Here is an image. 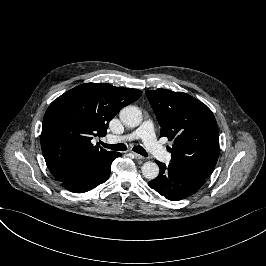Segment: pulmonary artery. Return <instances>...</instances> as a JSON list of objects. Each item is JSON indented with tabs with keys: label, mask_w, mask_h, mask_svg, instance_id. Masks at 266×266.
Here are the masks:
<instances>
[{
	"label": "pulmonary artery",
	"mask_w": 266,
	"mask_h": 266,
	"mask_svg": "<svg viewBox=\"0 0 266 266\" xmlns=\"http://www.w3.org/2000/svg\"><path fill=\"white\" fill-rule=\"evenodd\" d=\"M154 128V121L152 119H145L143 124L135 127L133 131H129L127 136L109 135L107 141L110 143L122 142L128 140L129 142H137L141 139L144 141L148 148H153L154 152L161 159L167 158V153L164 152L160 146V142L150 131Z\"/></svg>",
	"instance_id": "obj_1"
}]
</instances>
